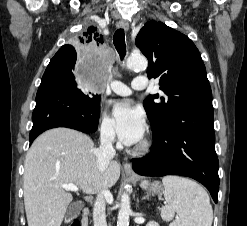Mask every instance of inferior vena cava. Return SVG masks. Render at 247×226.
I'll return each mask as SVG.
<instances>
[{"mask_svg": "<svg viewBox=\"0 0 247 226\" xmlns=\"http://www.w3.org/2000/svg\"><path fill=\"white\" fill-rule=\"evenodd\" d=\"M115 139V131L111 125L103 126L100 133V146L96 149L98 168L104 172L108 167L111 159L115 156L113 141ZM110 195L108 189L101 190L93 208V223L94 226H107L105 215V198Z\"/></svg>", "mask_w": 247, "mask_h": 226, "instance_id": "602c4592", "label": "inferior vena cava"}]
</instances>
